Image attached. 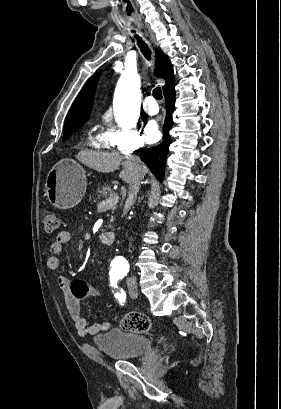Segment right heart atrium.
I'll use <instances>...</instances> for the list:
<instances>
[{"mask_svg": "<svg viewBox=\"0 0 281 409\" xmlns=\"http://www.w3.org/2000/svg\"><path fill=\"white\" fill-rule=\"evenodd\" d=\"M125 118L120 127L111 126L106 131L108 144L111 148L134 151L142 148L145 139L140 134L139 115H122ZM108 122L110 119H106Z\"/></svg>", "mask_w": 281, "mask_h": 409, "instance_id": "right-heart-atrium-1", "label": "right heart atrium"}]
</instances>
